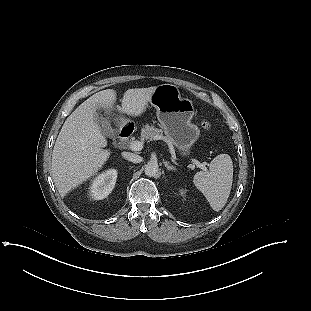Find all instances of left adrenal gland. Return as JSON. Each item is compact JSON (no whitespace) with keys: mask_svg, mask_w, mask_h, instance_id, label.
<instances>
[{"mask_svg":"<svg viewBox=\"0 0 311 311\" xmlns=\"http://www.w3.org/2000/svg\"><path fill=\"white\" fill-rule=\"evenodd\" d=\"M165 166L167 167V169L169 171H175V167L173 165H171L169 162H165Z\"/></svg>","mask_w":311,"mask_h":311,"instance_id":"1","label":"left adrenal gland"}]
</instances>
